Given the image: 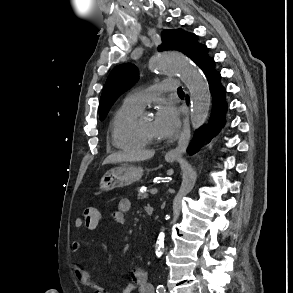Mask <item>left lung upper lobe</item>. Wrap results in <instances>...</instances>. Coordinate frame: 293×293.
Returning a JSON list of instances; mask_svg holds the SVG:
<instances>
[{"label": "left lung upper lobe", "instance_id": "obj_1", "mask_svg": "<svg viewBox=\"0 0 293 293\" xmlns=\"http://www.w3.org/2000/svg\"><path fill=\"white\" fill-rule=\"evenodd\" d=\"M163 43L158 50H177L194 60L203 46L196 41V35L183 30H164ZM138 78V70L132 64L116 66L105 83L99 103V117L105 118L116 99L127 89L131 88Z\"/></svg>", "mask_w": 293, "mask_h": 293}]
</instances>
